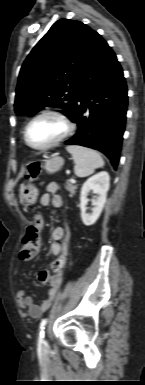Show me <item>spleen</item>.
Here are the masks:
<instances>
[{"instance_id": "3e777b00", "label": "spleen", "mask_w": 145, "mask_h": 385, "mask_svg": "<svg viewBox=\"0 0 145 385\" xmlns=\"http://www.w3.org/2000/svg\"><path fill=\"white\" fill-rule=\"evenodd\" d=\"M66 150L72 155L75 163L74 172L78 177H87L95 169L104 166L103 158L93 149L79 145H70L66 147Z\"/></svg>"}]
</instances>
